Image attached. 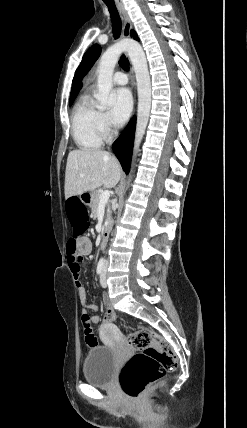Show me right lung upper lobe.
<instances>
[{
    "label": "right lung upper lobe",
    "instance_id": "cb5924a9",
    "mask_svg": "<svg viewBox=\"0 0 247 428\" xmlns=\"http://www.w3.org/2000/svg\"><path fill=\"white\" fill-rule=\"evenodd\" d=\"M131 35L133 36V38H134L135 40H139V38H138V36H137V34L135 33V31H134V30H132V31H131ZM81 86H82L81 82H76V83L72 86L71 94H70V102H69V104L73 103V101L75 100V98H76V96H77L78 92L80 91Z\"/></svg>",
    "mask_w": 247,
    "mask_h": 428
}]
</instances>
